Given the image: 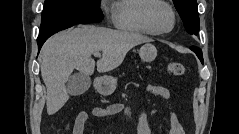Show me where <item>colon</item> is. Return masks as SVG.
Masks as SVG:
<instances>
[{
	"label": "colon",
	"mask_w": 239,
	"mask_h": 134,
	"mask_svg": "<svg viewBox=\"0 0 239 134\" xmlns=\"http://www.w3.org/2000/svg\"><path fill=\"white\" fill-rule=\"evenodd\" d=\"M165 73L169 78H181L185 73L184 65L180 62H170L166 68Z\"/></svg>",
	"instance_id": "5ec220e1"
}]
</instances>
